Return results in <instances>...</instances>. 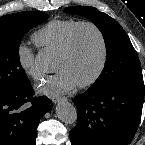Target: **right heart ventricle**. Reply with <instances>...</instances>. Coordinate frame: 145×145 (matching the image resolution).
Listing matches in <instances>:
<instances>
[{
  "label": "right heart ventricle",
  "mask_w": 145,
  "mask_h": 145,
  "mask_svg": "<svg viewBox=\"0 0 145 145\" xmlns=\"http://www.w3.org/2000/svg\"><path fill=\"white\" fill-rule=\"evenodd\" d=\"M79 22L81 21L72 18L53 19L33 34V41L43 50L59 53Z\"/></svg>",
  "instance_id": "1"
}]
</instances>
